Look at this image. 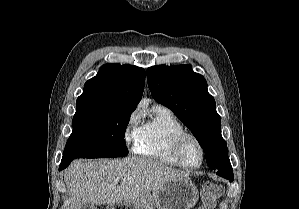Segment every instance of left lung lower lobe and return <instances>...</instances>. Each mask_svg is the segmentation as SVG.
<instances>
[{"mask_svg": "<svg viewBox=\"0 0 299 209\" xmlns=\"http://www.w3.org/2000/svg\"><path fill=\"white\" fill-rule=\"evenodd\" d=\"M217 175L224 177L228 179L230 182H232L234 180V175L231 164H228L227 166L220 168L217 172Z\"/></svg>", "mask_w": 299, "mask_h": 209, "instance_id": "left-lung-lower-lobe-1", "label": "left lung lower lobe"}]
</instances>
